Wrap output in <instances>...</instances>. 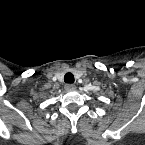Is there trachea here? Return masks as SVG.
I'll list each match as a JSON object with an SVG mask.
<instances>
[{
    "mask_svg": "<svg viewBox=\"0 0 145 145\" xmlns=\"http://www.w3.org/2000/svg\"><path fill=\"white\" fill-rule=\"evenodd\" d=\"M64 81L69 84L74 83V75L72 73H66L64 76Z\"/></svg>",
    "mask_w": 145,
    "mask_h": 145,
    "instance_id": "trachea-1",
    "label": "trachea"
}]
</instances>
